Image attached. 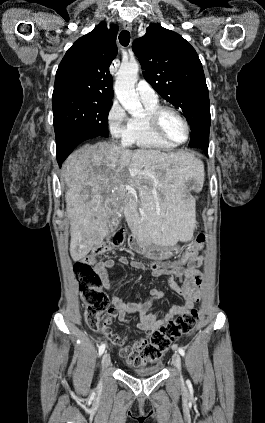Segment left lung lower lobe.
Returning <instances> with one entry per match:
<instances>
[{"label": "left lung lower lobe", "instance_id": "0a47b994", "mask_svg": "<svg viewBox=\"0 0 265 423\" xmlns=\"http://www.w3.org/2000/svg\"><path fill=\"white\" fill-rule=\"evenodd\" d=\"M208 142H205L204 144H202V148L207 152L208 151Z\"/></svg>", "mask_w": 265, "mask_h": 423}]
</instances>
